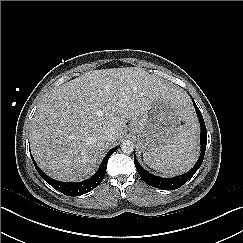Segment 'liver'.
I'll use <instances>...</instances> for the list:
<instances>
[{
    "label": "liver",
    "instance_id": "liver-1",
    "mask_svg": "<svg viewBox=\"0 0 243 243\" xmlns=\"http://www.w3.org/2000/svg\"><path fill=\"white\" fill-rule=\"evenodd\" d=\"M162 98L171 100L186 121L191 119L188 95L141 68L86 72L59 86L38 106L30 129L32 154L50 177L82 181L122 138L127 121L143 116ZM109 129L115 132L110 142L102 138Z\"/></svg>",
    "mask_w": 243,
    "mask_h": 243
}]
</instances>
